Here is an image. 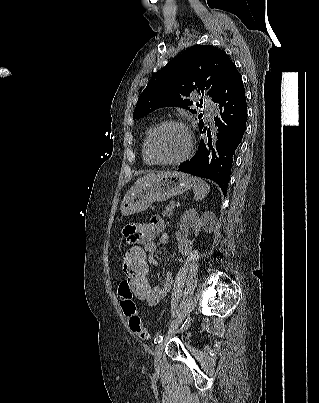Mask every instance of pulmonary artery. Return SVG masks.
I'll return each mask as SVG.
<instances>
[{
	"mask_svg": "<svg viewBox=\"0 0 319 403\" xmlns=\"http://www.w3.org/2000/svg\"><path fill=\"white\" fill-rule=\"evenodd\" d=\"M212 112H213V109L210 108L209 111H208V119H209V121H212V119H213Z\"/></svg>",
	"mask_w": 319,
	"mask_h": 403,
	"instance_id": "e3ab8cb5",
	"label": "pulmonary artery"
}]
</instances>
